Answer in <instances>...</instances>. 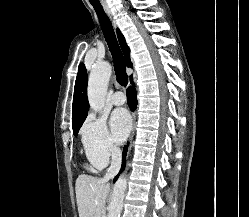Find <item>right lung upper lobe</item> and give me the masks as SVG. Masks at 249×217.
I'll return each instance as SVG.
<instances>
[{
  "label": "right lung upper lobe",
  "instance_id": "1",
  "mask_svg": "<svg viewBox=\"0 0 249 217\" xmlns=\"http://www.w3.org/2000/svg\"><path fill=\"white\" fill-rule=\"evenodd\" d=\"M117 36L126 59L127 67H132L130 60V49L126 44L125 38L117 29ZM87 82L88 76L84 64L78 67V74L75 82L73 106H72V126L77 125L85 120L88 114L89 103L87 99Z\"/></svg>",
  "mask_w": 249,
  "mask_h": 217
}]
</instances>
